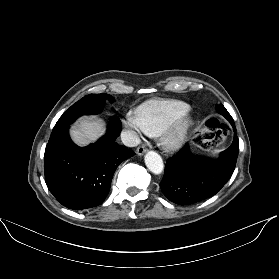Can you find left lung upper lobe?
Wrapping results in <instances>:
<instances>
[{
	"label": "left lung upper lobe",
	"mask_w": 279,
	"mask_h": 279,
	"mask_svg": "<svg viewBox=\"0 0 279 279\" xmlns=\"http://www.w3.org/2000/svg\"><path fill=\"white\" fill-rule=\"evenodd\" d=\"M216 110L219 114L223 115L228 121L232 119L231 115L228 113V111L226 110V108L220 104V105H216Z\"/></svg>",
	"instance_id": "obj_1"
}]
</instances>
